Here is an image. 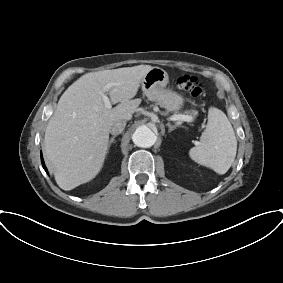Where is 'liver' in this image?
<instances>
[{
	"mask_svg": "<svg viewBox=\"0 0 283 283\" xmlns=\"http://www.w3.org/2000/svg\"><path fill=\"white\" fill-rule=\"evenodd\" d=\"M150 65L87 73L59 99L44 137V152L58 186L63 190L89 182L100 172L108 148L110 127L128 121L141 103L133 99ZM112 83L107 91L105 86ZM116 107L107 109L102 94Z\"/></svg>",
	"mask_w": 283,
	"mask_h": 283,
	"instance_id": "obj_1",
	"label": "liver"
}]
</instances>
